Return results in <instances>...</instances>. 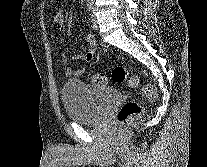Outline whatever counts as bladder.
I'll use <instances>...</instances> for the list:
<instances>
[{
    "mask_svg": "<svg viewBox=\"0 0 207 167\" xmlns=\"http://www.w3.org/2000/svg\"><path fill=\"white\" fill-rule=\"evenodd\" d=\"M118 97L115 89L92 86L78 79L67 80L61 90L67 116L78 123L98 121Z\"/></svg>",
    "mask_w": 207,
    "mask_h": 167,
    "instance_id": "bladder-1",
    "label": "bladder"
}]
</instances>
